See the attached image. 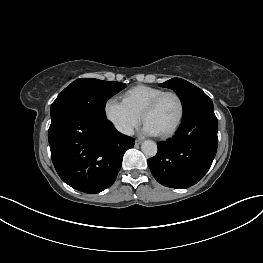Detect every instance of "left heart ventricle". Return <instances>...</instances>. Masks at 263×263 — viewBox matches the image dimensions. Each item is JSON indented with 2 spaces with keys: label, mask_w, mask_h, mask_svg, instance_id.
Segmentation results:
<instances>
[{
  "label": "left heart ventricle",
  "mask_w": 263,
  "mask_h": 263,
  "mask_svg": "<svg viewBox=\"0 0 263 263\" xmlns=\"http://www.w3.org/2000/svg\"><path fill=\"white\" fill-rule=\"evenodd\" d=\"M179 115V103L174 96H166L159 105L147 114L145 122L150 123L159 134L168 131Z\"/></svg>",
  "instance_id": "left-heart-ventricle-1"
}]
</instances>
